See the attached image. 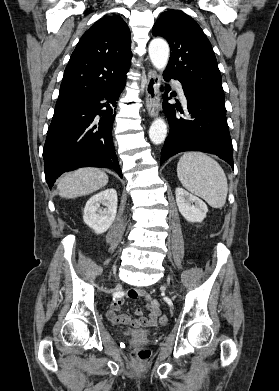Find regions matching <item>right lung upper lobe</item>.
I'll return each instance as SVG.
<instances>
[{
	"mask_svg": "<svg viewBox=\"0 0 279 391\" xmlns=\"http://www.w3.org/2000/svg\"><path fill=\"white\" fill-rule=\"evenodd\" d=\"M131 34L119 16L98 20L79 40L65 69L57 103L94 95L125 82Z\"/></svg>",
	"mask_w": 279,
	"mask_h": 391,
	"instance_id": "obj_1",
	"label": "right lung upper lobe"
}]
</instances>
